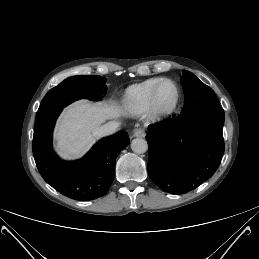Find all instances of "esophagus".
<instances>
[{
    "instance_id": "obj_1",
    "label": "esophagus",
    "mask_w": 259,
    "mask_h": 259,
    "mask_svg": "<svg viewBox=\"0 0 259 259\" xmlns=\"http://www.w3.org/2000/svg\"><path fill=\"white\" fill-rule=\"evenodd\" d=\"M133 136L143 138L145 137V131L141 128H136L133 132Z\"/></svg>"
}]
</instances>
